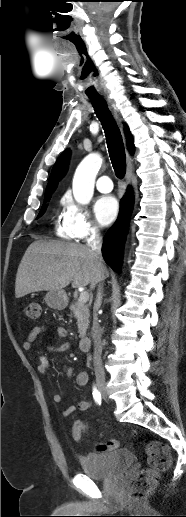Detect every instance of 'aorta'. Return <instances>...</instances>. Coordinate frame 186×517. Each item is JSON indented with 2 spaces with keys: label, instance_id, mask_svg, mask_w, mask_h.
Masks as SVG:
<instances>
[{
  "label": "aorta",
  "instance_id": "aorta-1",
  "mask_svg": "<svg viewBox=\"0 0 186 517\" xmlns=\"http://www.w3.org/2000/svg\"><path fill=\"white\" fill-rule=\"evenodd\" d=\"M102 163L101 155L86 156L76 169L73 178V195L80 204H88L93 196L96 175Z\"/></svg>",
  "mask_w": 186,
  "mask_h": 517
}]
</instances>
